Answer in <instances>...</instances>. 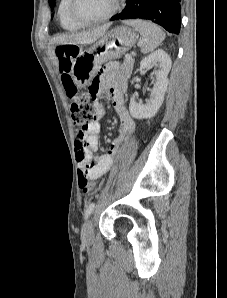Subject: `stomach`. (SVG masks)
<instances>
[{"instance_id": "obj_1", "label": "stomach", "mask_w": 227, "mask_h": 298, "mask_svg": "<svg viewBox=\"0 0 227 298\" xmlns=\"http://www.w3.org/2000/svg\"><path fill=\"white\" fill-rule=\"evenodd\" d=\"M138 39L135 30L119 26L106 33L92 46L81 49L72 62L71 76L82 87L90 82L102 63L117 59L133 47Z\"/></svg>"}]
</instances>
